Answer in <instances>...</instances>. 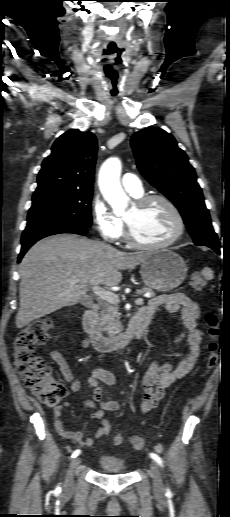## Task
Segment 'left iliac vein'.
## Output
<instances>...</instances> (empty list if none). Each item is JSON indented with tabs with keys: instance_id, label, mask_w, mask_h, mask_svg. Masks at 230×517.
<instances>
[{
	"instance_id": "1",
	"label": "left iliac vein",
	"mask_w": 230,
	"mask_h": 517,
	"mask_svg": "<svg viewBox=\"0 0 230 517\" xmlns=\"http://www.w3.org/2000/svg\"><path fill=\"white\" fill-rule=\"evenodd\" d=\"M151 477L153 479V489L157 495H162L165 491L162 476L158 464L155 461L150 463Z\"/></svg>"
}]
</instances>
